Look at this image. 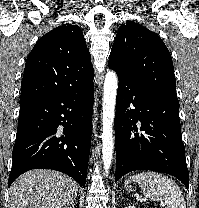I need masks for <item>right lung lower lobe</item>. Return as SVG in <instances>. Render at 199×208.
<instances>
[{
	"mask_svg": "<svg viewBox=\"0 0 199 208\" xmlns=\"http://www.w3.org/2000/svg\"><path fill=\"white\" fill-rule=\"evenodd\" d=\"M93 89L92 78L80 87L20 103L9 186L36 168L61 171L85 186Z\"/></svg>",
	"mask_w": 199,
	"mask_h": 208,
	"instance_id": "right-lung-lower-lobe-1",
	"label": "right lung lower lobe"
}]
</instances>
